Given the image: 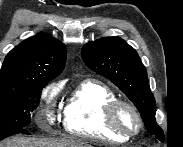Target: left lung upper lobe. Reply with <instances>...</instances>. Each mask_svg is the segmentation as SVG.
Returning a JSON list of instances; mask_svg holds the SVG:
<instances>
[{"instance_id": "left-lung-upper-lobe-1", "label": "left lung upper lobe", "mask_w": 183, "mask_h": 147, "mask_svg": "<svg viewBox=\"0 0 183 147\" xmlns=\"http://www.w3.org/2000/svg\"><path fill=\"white\" fill-rule=\"evenodd\" d=\"M81 55L91 70L111 80L134 103L146 129L163 141L147 71L135 49L119 37H105L85 44Z\"/></svg>"}]
</instances>
